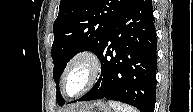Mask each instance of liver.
I'll use <instances>...</instances> for the list:
<instances>
[{"mask_svg": "<svg viewBox=\"0 0 193 112\" xmlns=\"http://www.w3.org/2000/svg\"><path fill=\"white\" fill-rule=\"evenodd\" d=\"M88 102H83V103H77L75 105H73L72 107L69 108V111L71 112H76L78 111L80 108H82L84 105H86Z\"/></svg>", "mask_w": 193, "mask_h": 112, "instance_id": "6515ba94", "label": "liver"}]
</instances>
